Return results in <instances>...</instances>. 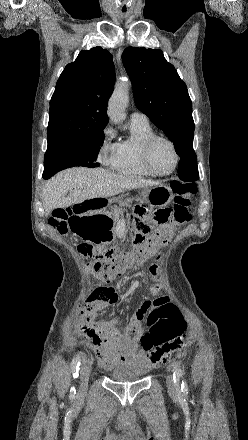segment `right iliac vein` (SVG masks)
<instances>
[{"mask_svg":"<svg viewBox=\"0 0 248 440\" xmlns=\"http://www.w3.org/2000/svg\"><path fill=\"white\" fill-rule=\"evenodd\" d=\"M90 371H91V368L89 366V363L87 361H84L81 366V370H80V374H81L80 393L81 394L85 393V391H86L89 376H90Z\"/></svg>","mask_w":248,"mask_h":440,"instance_id":"63e3f726","label":"right iliac vein"}]
</instances>
